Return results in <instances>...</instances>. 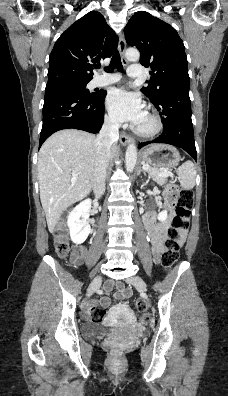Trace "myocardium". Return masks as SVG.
Here are the masks:
<instances>
[{"label": "myocardium", "mask_w": 228, "mask_h": 396, "mask_svg": "<svg viewBox=\"0 0 228 396\" xmlns=\"http://www.w3.org/2000/svg\"><path fill=\"white\" fill-rule=\"evenodd\" d=\"M146 113L149 115V117L151 118V120L153 122L152 128L148 129V130H143V129L139 128L138 126H136L134 128V132H135V134H137L138 136H140L142 138H152L161 132V130L163 128V124H162V120H161L160 116L154 110L148 109L146 111Z\"/></svg>", "instance_id": "myocardium-1"}]
</instances>
